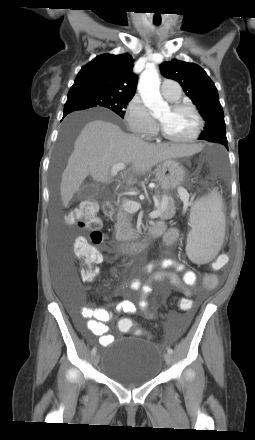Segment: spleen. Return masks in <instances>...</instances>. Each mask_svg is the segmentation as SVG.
Wrapping results in <instances>:
<instances>
[{
  "label": "spleen",
  "instance_id": "obj_1",
  "mask_svg": "<svg viewBox=\"0 0 255 440\" xmlns=\"http://www.w3.org/2000/svg\"><path fill=\"white\" fill-rule=\"evenodd\" d=\"M222 205L221 197L215 192L194 203L190 212L192 229L186 245V253L191 261L207 263L219 252L226 225Z\"/></svg>",
  "mask_w": 255,
  "mask_h": 440
}]
</instances>
